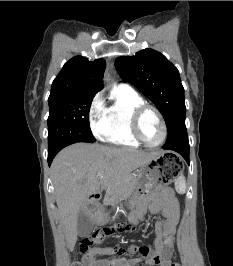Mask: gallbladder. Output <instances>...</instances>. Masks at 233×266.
<instances>
[{
	"label": "gallbladder",
	"instance_id": "gallbladder-1",
	"mask_svg": "<svg viewBox=\"0 0 233 266\" xmlns=\"http://www.w3.org/2000/svg\"><path fill=\"white\" fill-rule=\"evenodd\" d=\"M94 229V221L92 217L81 209L77 218V234L80 237H85L91 234Z\"/></svg>",
	"mask_w": 233,
	"mask_h": 266
}]
</instances>
